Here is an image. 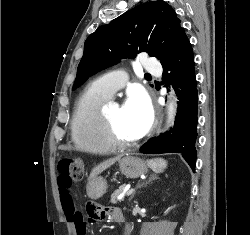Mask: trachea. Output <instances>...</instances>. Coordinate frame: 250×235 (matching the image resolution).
<instances>
[{
	"label": "trachea",
	"mask_w": 250,
	"mask_h": 235,
	"mask_svg": "<svg viewBox=\"0 0 250 235\" xmlns=\"http://www.w3.org/2000/svg\"><path fill=\"white\" fill-rule=\"evenodd\" d=\"M146 76H147V77H151V75H150V74H147Z\"/></svg>",
	"instance_id": "3493384b"
}]
</instances>
